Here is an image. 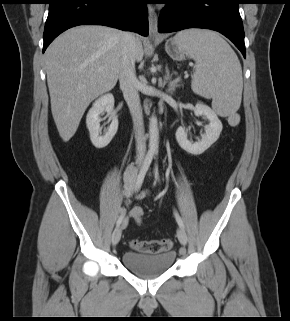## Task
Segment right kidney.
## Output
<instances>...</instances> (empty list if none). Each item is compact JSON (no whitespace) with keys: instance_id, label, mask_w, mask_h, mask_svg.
<instances>
[{"instance_id":"obj_1","label":"right kidney","mask_w":290,"mask_h":321,"mask_svg":"<svg viewBox=\"0 0 290 321\" xmlns=\"http://www.w3.org/2000/svg\"><path fill=\"white\" fill-rule=\"evenodd\" d=\"M107 113L111 124L104 135H101L100 115ZM86 125L90 133V140L96 148L107 146L118 129V118L114 111V97L112 94H105L99 97L92 105L86 117Z\"/></svg>"}]
</instances>
